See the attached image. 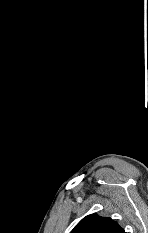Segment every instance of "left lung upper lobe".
<instances>
[{"mask_svg": "<svg viewBox=\"0 0 148 233\" xmlns=\"http://www.w3.org/2000/svg\"><path fill=\"white\" fill-rule=\"evenodd\" d=\"M71 233H125V231L111 218L91 214L84 217Z\"/></svg>", "mask_w": 148, "mask_h": 233, "instance_id": "left-lung-upper-lobe-1", "label": "left lung upper lobe"}]
</instances>
